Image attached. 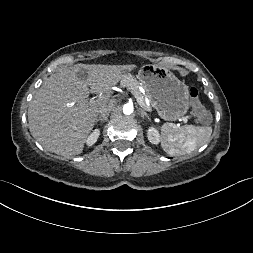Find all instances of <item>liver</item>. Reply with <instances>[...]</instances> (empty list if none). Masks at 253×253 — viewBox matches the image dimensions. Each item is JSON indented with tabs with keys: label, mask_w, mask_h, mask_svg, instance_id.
Wrapping results in <instances>:
<instances>
[{
	"label": "liver",
	"mask_w": 253,
	"mask_h": 253,
	"mask_svg": "<svg viewBox=\"0 0 253 253\" xmlns=\"http://www.w3.org/2000/svg\"><path fill=\"white\" fill-rule=\"evenodd\" d=\"M136 66L75 64L60 68L47 78L28 108L31 135L48 151L74 156L83 151L99 108L112 99L106 97ZM90 93L105 95L88 101Z\"/></svg>",
	"instance_id": "6515ba94"
}]
</instances>
